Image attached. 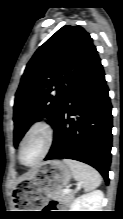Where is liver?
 Instances as JSON below:
<instances>
[{
    "instance_id": "6515ba94",
    "label": "liver",
    "mask_w": 123,
    "mask_h": 219,
    "mask_svg": "<svg viewBox=\"0 0 123 219\" xmlns=\"http://www.w3.org/2000/svg\"><path fill=\"white\" fill-rule=\"evenodd\" d=\"M31 173H32V171L29 172V173L24 177V179H26L27 177H29V176L31 175Z\"/></svg>"
}]
</instances>
